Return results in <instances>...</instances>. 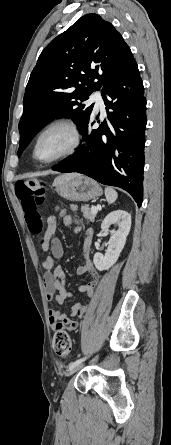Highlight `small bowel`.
I'll list each match as a JSON object with an SVG mask.
<instances>
[{
  "label": "small bowel",
  "instance_id": "small-bowel-1",
  "mask_svg": "<svg viewBox=\"0 0 171 445\" xmlns=\"http://www.w3.org/2000/svg\"><path fill=\"white\" fill-rule=\"evenodd\" d=\"M58 223L55 218H51L48 228L44 236L39 241L40 247L43 251H50L51 255L47 256L42 261L44 273V287L46 298L48 301H55L58 304H63L64 301L72 297V293L65 288V273L60 266H56V261L59 260L64 253L61 241L56 238L55 232ZM83 261L77 268L79 275H90L92 279L80 285L79 290L86 292L89 299H92L96 291L99 275L91 260V238L87 235L82 243ZM88 309V304L81 302L75 303L69 314H63L58 309L49 308L48 315L52 329L56 331L61 327L68 331H75L78 329L80 323L73 320L74 317L82 318Z\"/></svg>",
  "mask_w": 171,
  "mask_h": 445
}]
</instances>
